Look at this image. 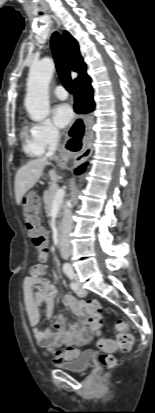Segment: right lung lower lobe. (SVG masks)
<instances>
[{"label": "right lung lower lobe", "mask_w": 155, "mask_h": 413, "mask_svg": "<svg viewBox=\"0 0 155 413\" xmlns=\"http://www.w3.org/2000/svg\"><path fill=\"white\" fill-rule=\"evenodd\" d=\"M90 77L84 73L73 82L75 97L74 109L77 113H88L94 109L93 89L90 85ZM87 163L75 169V174L82 173Z\"/></svg>", "instance_id": "right-lung-lower-lobe-1"}]
</instances>
